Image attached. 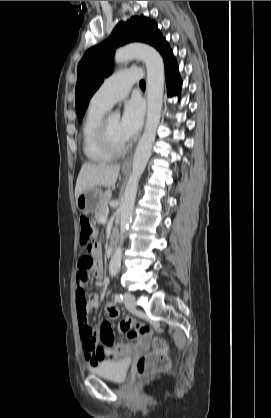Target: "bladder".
<instances>
[{
  "label": "bladder",
  "mask_w": 271,
  "mask_h": 418,
  "mask_svg": "<svg viewBox=\"0 0 271 418\" xmlns=\"http://www.w3.org/2000/svg\"><path fill=\"white\" fill-rule=\"evenodd\" d=\"M129 365L130 358L128 355H124L118 359L104 361L92 367L90 372L112 382H122L126 377Z\"/></svg>",
  "instance_id": "obj_1"
}]
</instances>
